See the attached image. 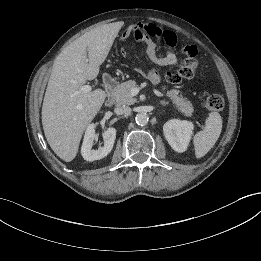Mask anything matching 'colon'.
Instances as JSON below:
<instances>
[{"label":"colon","instance_id":"colon-1","mask_svg":"<svg viewBox=\"0 0 261 261\" xmlns=\"http://www.w3.org/2000/svg\"><path fill=\"white\" fill-rule=\"evenodd\" d=\"M135 32V27L133 25H128L126 28L122 30V34L119 36L121 41H128L130 39L131 34ZM138 32L144 35H157L159 33V28L157 26H152L149 22H143L138 27ZM167 42L169 44H174L176 42V37L174 35H169L167 37ZM167 78H170V75L166 74ZM205 108L212 112H217L223 109L224 100L220 95H209L204 102Z\"/></svg>","mask_w":261,"mask_h":261}]
</instances>
